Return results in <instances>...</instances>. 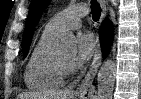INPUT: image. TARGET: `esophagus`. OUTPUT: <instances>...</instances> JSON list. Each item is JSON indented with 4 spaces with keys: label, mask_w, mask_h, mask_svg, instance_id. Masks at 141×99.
Instances as JSON below:
<instances>
[{
    "label": "esophagus",
    "mask_w": 141,
    "mask_h": 99,
    "mask_svg": "<svg viewBox=\"0 0 141 99\" xmlns=\"http://www.w3.org/2000/svg\"><path fill=\"white\" fill-rule=\"evenodd\" d=\"M98 1L102 9L101 20H100V22H102L107 15L106 1L105 0H98ZM101 61H102V53H101L100 44L98 43L90 68L79 88L80 96L85 99L92 97L95 92L93 81L98 72Z\"/></svg>",
    "instance_id": "34e87169"
}]
</instances>
